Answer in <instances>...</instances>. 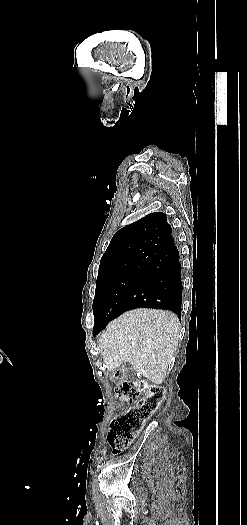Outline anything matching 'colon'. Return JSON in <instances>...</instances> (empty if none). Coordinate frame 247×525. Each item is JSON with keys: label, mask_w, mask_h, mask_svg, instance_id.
Returning a JSON list of instances; mask_svg holds the SVG:
<instances>
[{"label": "colon", "mask_w": 247, "mask_h": 525, "mask_svg": "<svg viewBox=\"0 0 247 525\" xmlns=\"http://www.w3.org/2000/svg\"><path fill=\"white\" fill-rule=\"evenodd\" d=\"M115 397L124 405L138 402L112 421L108 443L112 454L118 456L132 442L143 423L158 410L165 390L153 383L126 379L115 388Z\"/></svg>", "instance_id": "1"}]
</instances>
